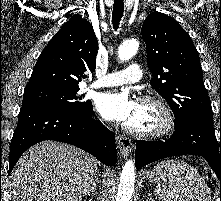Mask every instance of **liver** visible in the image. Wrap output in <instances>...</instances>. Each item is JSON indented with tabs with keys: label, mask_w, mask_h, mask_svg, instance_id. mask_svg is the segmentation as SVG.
Wrapping results in <instances>:
<instances>
[{
	"label": "liver",
	"mask_w": 221,
	"mask_h": 201,
	"mask_svg": "<svg viewBox=\"0 0 221 201\" xmlns=\"http://www.w3.org/2000/svg\"><path fill=\"white\" fill-rule=\"evenodd\" d=\"M98 161L74 146L43 141L29 148L11 173L13 201H80Z\"/></svg>",
	"instance_id": "liver-1"
}]
</instances>
